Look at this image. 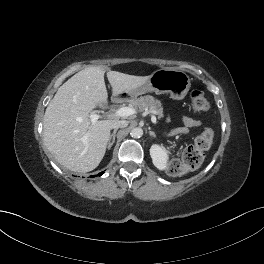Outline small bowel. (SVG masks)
<instances>
[{
  "label": "small bowel",
  "mask_w": 264,
  "mask_h": 264,
  "mask_svg": "<svg viewBox=\"0 0 264 264\" xmlns=\"http://www.w3.org/2000/svg\"><path fill=\"white\" fill-rule=\"evenodd\" d=\"M200 125V121L194 118L183 116L182 125L170 131V135L176 134H186L191 128L197 127Z\"/></svg>",
  "instance_id": "c3829d8e"
}]
</instances>
